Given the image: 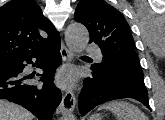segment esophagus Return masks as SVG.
<instances>
[{"label": "esophagus", "instance_id": "esophagus-1", "mask_svg": "<svg viewBox=\"0 0 165 120\" xmlns=\"http://www.w3.org/2000/svg\"><path fill=\"white\" fill-rule=\"evenodd\" d=\"M60 53L64 62L71 61L73 59V54L68 50V48L62 43ZM76 104V98L73 91L68 90L63 95L62 101L59 105V112L61 114L71 113Z\"/></svg>", "mask_w": 165, "mask_h": 120}]
</instances>
